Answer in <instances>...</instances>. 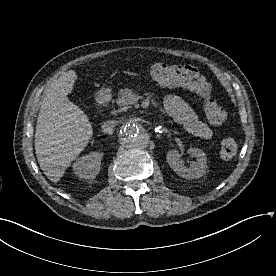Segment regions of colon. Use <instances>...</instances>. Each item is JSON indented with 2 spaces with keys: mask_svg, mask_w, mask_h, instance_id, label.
Listing matches in <instances>:
<instances>
[{
  "mask_svg": "<svg viewBox=\"0 0 276 276\" xmlns=\"http://www.w3.org/2000/svg\"><path fill=\"white\" fill-rule=\"evenodd\" d=\"M148 71L160 85L185 87L200 96L204 101L206 117L211 124L222 125L226 121L227 111L212 97L211 84L196 67L186 64L156 63ZM238 150L239 145L234 138L225 137L221 141L220 154L223 159H233Z\"/></svg>",
  "mask_w": 276,
  "mask_h": 276,
  "instance_id": "5ec220e1",
  "label": "colon"
}]
</instances>
